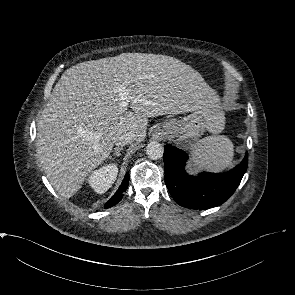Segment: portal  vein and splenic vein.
I'll list each match as a JSON object with an SVG mask.
<instances>
[{
  "instance_id": "obj_1",
  "label": "portal vein and splenic vein",
  "mask_w": 295,
  "mask_h": 295,
  "mask_svg": "<svg viewBox=\"0 0 295 295\" xmlns=\"http://www.w3.org/2000/svg\"><path fill=\"white\" fill-rule=\"evenodd\" d=\"M117 91L120 95L121 109L126 110L129 103V97L126 93L125 86L123 84L119 85L117 88ZM83 135L89 139H95V140H97L100 137V133L98 132H84Z\"/></svg>"
}]
</instances>
